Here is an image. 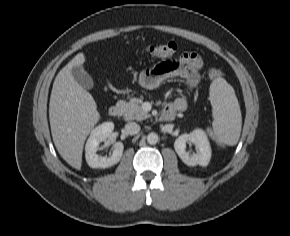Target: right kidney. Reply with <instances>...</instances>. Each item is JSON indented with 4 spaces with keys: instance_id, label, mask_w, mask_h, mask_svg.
Wrapping results in <instances>:
<instances>
[{
    "instance_id": "ca27d5eb",
    "label": "right kidney",
    "mask_w": 290,
    "mask_h": 236,
    "mask_svg": "<svg viewBox=\"0 0 290 236\" xmlns=\"http://www.w3.org/2000/svg\"><path fill=\"white\" fill-rule=\"evenodd\" d=\"M113 129V122H104L91 131L85 146L86 162L91 168H108L120 161L124 150L122 142H116L113 145V153L109 157L99 156L96 153L100 142L105 141Z\"/></svg>"
}]
</instances>
